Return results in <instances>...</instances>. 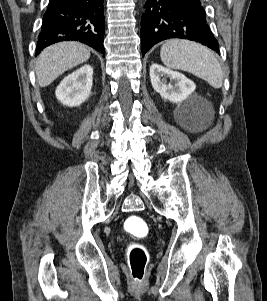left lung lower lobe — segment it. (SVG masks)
Instances as JSON below:
<instances>
[{"label": "left lung lower lobe", "instance_id": "left-lung-lower-lobe-1", "mask_svg": "<svg viewBox=\"0 0 267 301\" xmlns=\"http://www.w3.org/2000/svg\"><path fill=\"white\" fill-rule=\"evenodd\" d=\"M168 38H182L219 51L200 0H147L141 19V51Z\"/></svg>", "mask_w": 267, "mask_h": 301}]
</instances>
